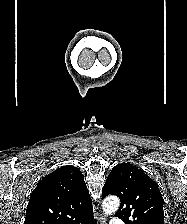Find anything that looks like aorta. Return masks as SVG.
<instances>
[{
  "mask_svg": "<svg viewBox=\"0 0 187 224\" xmlns=\"http://www.w3.org/2000/svg\"><path fill=\"white\" fill-rule=\"evenodd\" d=\"M119 206L120 200L115 196L107 197L102 204L103 211L109 215L115 213Z\"/></svg>",
  "mask_w": 187,
  "mask_h": 224,
  "instance_id": "762f6f07",
  "label": "aorta"
}]
</instances>
